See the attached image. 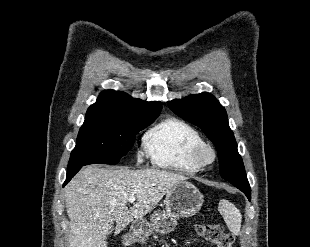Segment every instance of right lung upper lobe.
Returning <instances> with one entry per match:
<instances>
[{"instance_id": "cb5924a9", "label": "right lung upper lobe", "mask_w": 310, "mask_h": 247, "mask_svg": "<svg viewBox=\"0 0 310 247\" xmlns=\"http://www.w3.org/2000/svg\"><path fill=\"white\" fill-rule=\"evenodd\" d=\"M161 108V102H145L124 92L105 90L100 93L96 103L88 108L86 115L145 119L158 116Z\"/></svg>"}]
</instances>
